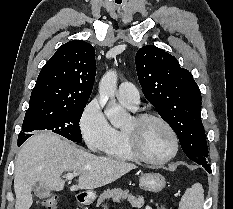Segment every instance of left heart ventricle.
<instances>
[{
	"mask_svg": "<svg viewBox=\"0 0 233 209\" xmlns=\"http://www.w3.org/2000/svg\"><path fill=\"white\" fill-rule=\"evenodd\" d=\"M132 124L131 120L125 129H130ZM139 145L142 152L152 159L165 158L173 148L169 132L161 123L155 120H148L140 127Z\"/></svg>",
	"mask_w": 233,
	"mask_h": 209,
	"instance_id": "obj_1",
	"label": "left heart ventricle"
}]
</instances>
